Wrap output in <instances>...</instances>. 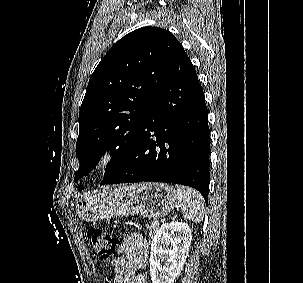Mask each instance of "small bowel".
<instances>
[{
	"label": "small bowel",
	"mask_w": 303,
	"mask_h": 283,
	"mask_svg": "<svg viewBox=\"0 0 303 283\" xmlns=\"http://www.w3.org/2000/svg\"><path fill=\"white\" fill-rule=\"evenodd\" d=\"M148 259V243L139 233L128 234L123 241V256L111 261L113 272L110 283H148L140 274Z\"/></svg>",
	"instance_id": "obj_1"
}]
</instances>
